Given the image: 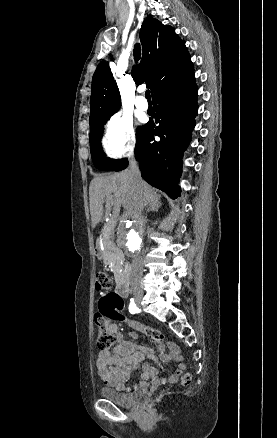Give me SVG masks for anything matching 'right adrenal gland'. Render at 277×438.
Wrapping results in <instances>:
<instances>
[{
  "mask_svg": "<svg viewBox=\"0 0 277 438\" xmlns=\"http://www.w3.org/2000/svg\"><path fill=\"white\" fill-rule=\"evenodd\" d=\"M160 206H162L161 202H156V204H153V206L147 208V212H159Z\"/></svg>",
  "mask_w": 277,
  "mask_h": 438,
  "instance_id": "right-adrenal-gland-1",
  "label": "right adrenal gland"
}]
</instances>
